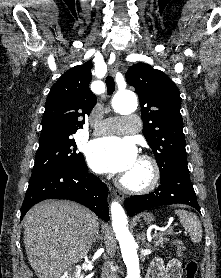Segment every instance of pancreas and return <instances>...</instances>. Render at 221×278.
Returning <instances> with one entry per match:
<instances>
[{
  "label": "pancreas",
  "mask_w": 221,
  "mask_h": 278,
  "mask_svg": "<svg viewBox=\"0 0 221 278\" xmlns=\"http://www.w3.org/2000/svg\"><path fill=\"white\" fill-rule=\"evenodd\" d=\"M153 239L154 241V247L158 248V247H164V244L167 243L169 241L168 238L164 237V234H156Z\"/></svg>",
  "instance_id": "obj_1"
}]
</instances>
